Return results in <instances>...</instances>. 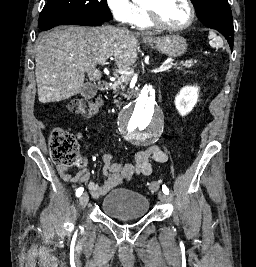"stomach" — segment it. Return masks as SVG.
I'll use <instances>...</instances> for the list:
<instances>
[{
  "instance_id": "stomach-1",
  "label": "stomach",
  "mask_w": 256,
  "mask_h": 267,
  "mask_svg": "<svg viewBox=\"0 0 256 267\" xmlns=\"http://www.w3.org/2000/svg\"><path fill=\"white\" fill-rule=\"evenodd\" d=\"M148 42L152 48H156L161 54L170 56V58L182 56L187 50L186 40L182 36H173V34L161 36V38H148Z\"/></svg>"
}]
</instances>
